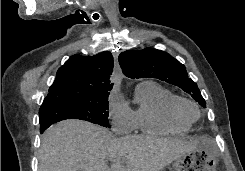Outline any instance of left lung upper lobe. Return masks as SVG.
<instances>
[{"label":"left lung upper lobe","mask_w":245,"mask_h":171,"mask_svg":"<svg viewBox=\"0 0 245 171\" xmlns=\"http://www.w3.org/2000/svg\"><path fill=\"white\" fill-rule=\"evenodd\" d=\"M119 64L127 77L157 78L173 84L191 94L193 99L206 108L205 100L196 83L188 78L185 66L168 53L151 48L128 50L119 55Z\"/></svg>","instance_id":"1"}]
</instances>
